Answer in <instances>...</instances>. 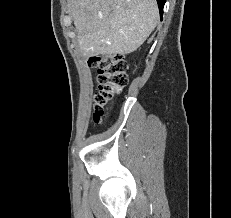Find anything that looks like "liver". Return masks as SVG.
<instances>
[{"label":"liver","instance_id":"obj_1","mask_svg":"<svg viewBox=\"0 0 231 218\" xmlns=\"http://www.w3.org/2000/svg\"><path fill=\"white\" fill-rule=\"evenodd\" d=\"M70 10L86 58L137 50L159 17L156 0H70Z\"/></svg>","mask_w":231,"mask_h":218}]
</instances>
